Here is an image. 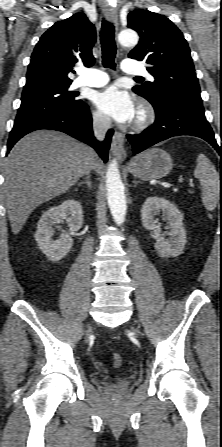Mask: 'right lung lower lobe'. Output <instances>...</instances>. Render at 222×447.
I'll list each match as a JSON object with an SVG mask.
<instances>
[{"label": "right lung lower lobe", "mask_w": 222, "mask_h": 447, "mask_svg": "<svg viewBox=\"0 0 222 447\" xmlns=\"http://www.w3.org/2000/svg\"><path fill=\"white\" fill-rule=\"evenodd\" d=\"M40 129L57 130L92 146L106 162L113 130L107 132L106 139L98 142L92 131V116L89 107L83 101L78 104L54 109L44 114L16 119L10 132L7 152L24 135Z\"/></svg>", "instance_id": "right-lung-lower-lobe-1"}]
</instances>
